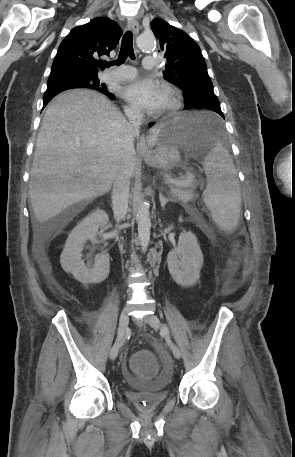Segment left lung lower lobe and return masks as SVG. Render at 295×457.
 Instances as JSON below:
<instances>
[{
  "instance_id": "1",
  "label": "left lung lower lobe",
  "mask_w": 295,
  "mask_h": 457,
  "mask_svg": "<svg viewBox=\"0 0 295 457\" xmlns=\"http://www.w3.org/2000/svg\"><path fill=\"white\" fill-rule=\"evenodd\" d=\"M197 107L208 108L210 110H213L224 118V115L221 111L220 103L218 100L206 98V99L197 100V101L187 105V109L197 108ZM207 127H208L209 131H212V132L214 131V126L211 123H209L207 125Z\"/></svg>"
}]
</instances>
